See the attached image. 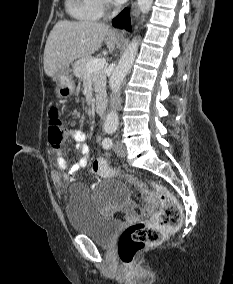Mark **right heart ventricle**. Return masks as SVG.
<instances>
[{"mask_svg": "<svg viewBox=\"0 0 233 284\" xmlns=\"http://www.w3.org/2000/svg\"><path fill=\"white\" fill-rule=\"evenodd\" d=\"M102 0H67L66 9L75 19L80 21H96L103 14Z\"/></svg>", "mask_w": 233, "mask_h": 284, "instance_id": "1", "label": "right heart ventricle"}]
</instances>
